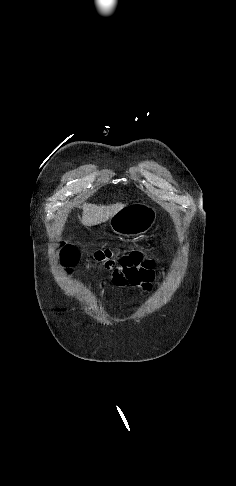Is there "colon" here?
Returning <instances> with one entry per match:
<instances>
[{
  "label": "colon",
  "mask_w": 236,
  "mask_h": 486,
  "mask_svg": "<svg viewBox=\"0 0 236 486\" xmlns=\"http://www.w3.org/2000/svg\"><path fill=\"white\" fill-rule=\"evenodd\" d=\"M62 262L65 267H73L78 261L79 255L76 248L72 246H64L61 252ZM124 258V257H123ZM120 259V263L122 259ZM95 262L103 265L108 269H112L117 265V257L110 249H100L94 255Z\"/></svg>",
  "instance_id": "colon-1"
}]
</instances>
